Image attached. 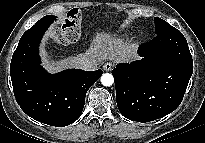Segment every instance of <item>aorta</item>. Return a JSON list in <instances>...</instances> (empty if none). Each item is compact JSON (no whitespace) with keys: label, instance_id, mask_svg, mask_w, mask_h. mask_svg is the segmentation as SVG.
I'll list each match as a JSON object with an SVG mask.
<instances>
[{"label":"aorta","instance_id":"1","mask_svg":"<svg viewBox=\"0 0 205 143\" xmlns=\"http://www.w3.org/2000/svg\"><path fill=\"white\" fill-rule=\"evenodd\" d=\"M101 83L104 86H111L114 83V77L110 73H104L101 76Z\"/></svg>","mask_w":205,"mask_h":143}]
</instances>
